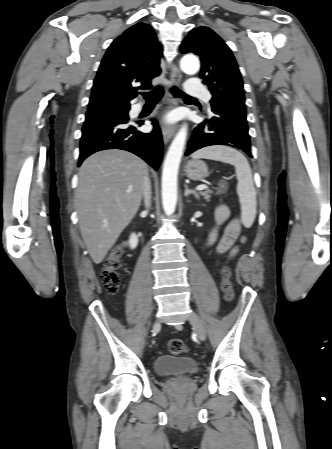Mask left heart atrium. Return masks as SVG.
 Listing matches in <instances>:
<instances>
[{"label":"left heart atrium","instance_id":"1","mask_svg":"<svg viewBox=\"0 0 332 449\" xmlns=\"http://www.w3.org/2000/svg\"><path fill=\"white\" fill-rule=\"evenodd\" d=\"M174 120H175V116H170V117H168V121L172 122V121H174Z\"/></svg>","mask_w":332,"mask_h":449}]
</instances>
